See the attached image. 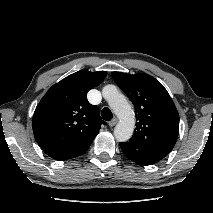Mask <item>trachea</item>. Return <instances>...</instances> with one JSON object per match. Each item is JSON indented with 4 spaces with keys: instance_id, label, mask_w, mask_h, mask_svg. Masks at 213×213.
<instances>
[{
    "instance_id": "1",
    "label": "trachea",
    "mask_w": 213,
    "mask_h": 213,
    "mask_svg": "<svg viewBox=\"0 0 213 213\" xmlns=\"http://www.w3.org/2000/svg\"><path fill=\"white\" fill-rule=\"evenodd\" d=\"M102 118L105 121H110L113 118V114L108 107H104L101 112Z\"/></svg>"
}]
</instances>
